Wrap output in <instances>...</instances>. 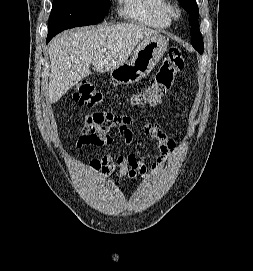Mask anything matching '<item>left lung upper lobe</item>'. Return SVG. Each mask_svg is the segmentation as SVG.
<instances>
[{"label":"left lung upper lobe","instance_id":"left-lung-upper-lobe-1","mask_svg":"<svg viewBox=\"0 0 253 271\" xmlns=\"http://www.w3.org/2000/svg\"><path fill=\"white\" fill-rule=\"evenodd\" d=\"M180 4L189 14V24L191 25L192 46L202 54L204 51V43L201 32L199 30V10L196 0H179Z\"/></svg>","mask_w":253,"mask_h":271}]
</instances>
